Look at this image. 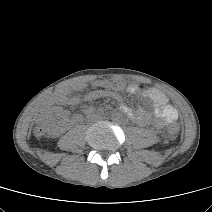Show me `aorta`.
Returning a JSON list of instances; mask_svg holds the SVG:
<instances>
[{
  "instance_id": "obj_1",
  "label": "aorta",
  "mask_w": 212,
  "mask_h": 212,
  "mask_svg": "<svg viewBox=\"0 0 212 212\" xmlns=\"http://www.w3.org/2000/svg\"><path fill=\"white\" fill-rule=\"evenodd\" d=\"M111 119L116 124H121L125 120V115L121 111H116L111 114Z\"/></svg>"
}]
</instances>
